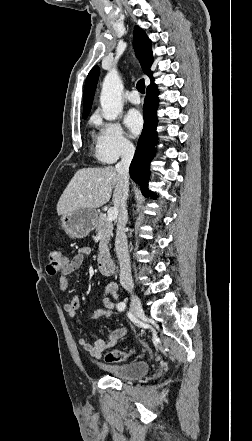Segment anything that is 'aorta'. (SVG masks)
Segmentation results:
<instances>
[{"mask_svg": "<svg viewBox=\"0 0 252 441\" xmlns=\"http://www.w3.org/2000/svg\"><path fill=\"white\" fill-rule=\"evenodd\" d=\"M123 85L116 70H111L104 78L100 103L103 117L106 120H115L123 110Z\"/></svg>", "mask_w": 252, "mask_h": 441, "instance_id": "762f6f07", "label": "aorta"}]
</instances>
